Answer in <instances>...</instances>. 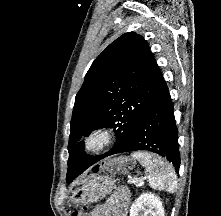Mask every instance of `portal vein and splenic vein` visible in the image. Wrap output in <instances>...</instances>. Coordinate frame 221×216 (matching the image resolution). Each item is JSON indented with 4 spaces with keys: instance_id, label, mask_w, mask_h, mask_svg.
<instances>
[{
    "instance_id": "18ae733b",
    "label": "portal vein and splenic vein",
    "mask_w": 221,
    "mask_h": 216,
    "mask_svg": "<svg viewBox=\"0 0 221 216\" xmlns=\"http://www.w3.org/2000/svg\"><path fill=\"white\" fill-rule=\"evenodd\" d=\"M141 179H138V178H135V179H132V183L133 184H136L137 182H139Z\"/></svg>"
}]
</instances>
